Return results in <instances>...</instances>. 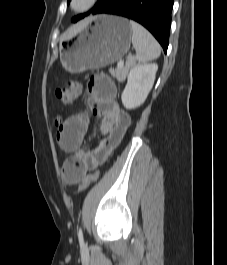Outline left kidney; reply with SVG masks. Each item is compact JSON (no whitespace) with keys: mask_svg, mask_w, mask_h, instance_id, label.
Here are the masks:
<instances>
[{"mask_svg":"<svg viewBox=\"0 0 227 265\" xmlns=\"http://www.w3.org/2000/svg\"><path fill=\"white\" fill-rule=\"evenodd\" d=\"M158 65L145 64L131 68L121 100L126 109L141 106L152 89Z\"/></svg>","mask_w":227,"mask_h":265,"instance_id":"obj_1","label":"left kidney"}]
</instances>
